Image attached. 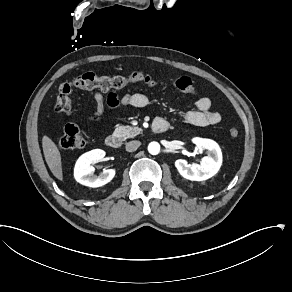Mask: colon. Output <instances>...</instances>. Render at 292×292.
I'll return each instance as SVG.
<instances>
[{"instance_id":"5ec220e1","label":"colon","mask_w":292,"mask_h":292,"mask_svg":"<svg viewBox=\"0 0 292 292\" xmlns=\"http://www.w3.org/2000/svg\"><path fill=\"white\" fill-rule=\"evenodd\" d=\"M143 82L152 87L168 88L169 84L158 81L154 74L143 71L133 70L127 75L119 76H101L93 72L85 73L73 80L67 81L60 85L56 99L55 110L61 115H68L72 110V93L77 89H122L132 83ZM173 88L186 94H193L196 91L193 80L188 76H181L174 80L171 84ZM231 137L235 138L239 135L237 127H231L229 130ZM86 145V141L82 131L74 126L68 125L64 128L59 139V147L64 150L82 149Z\"/></svg>"}]
</instances>
